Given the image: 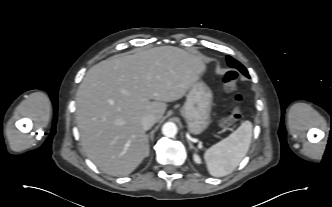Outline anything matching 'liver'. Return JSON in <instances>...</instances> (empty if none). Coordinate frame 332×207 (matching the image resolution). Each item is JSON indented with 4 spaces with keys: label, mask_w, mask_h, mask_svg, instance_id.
<instances>
[{
    "label": "liver",
    "mask_w": 332,
    "mask_h": 207,
    "mask_svg": "<svg viewBox=\"0 0 332 207\" xmlns=\"http://www.w3.org/2000/svg\"><path fill=\"white\" fill-rule=\"evenodd\" d=\"M205 70L201 56L173 46L115 55L91 67L76 98L87 157L108 175L133 172L147 153L142 118L150 114L158 122L166 102L182 98Z\"/></svg>",
    "instance_id": "obj_1"
}]
</instances>
